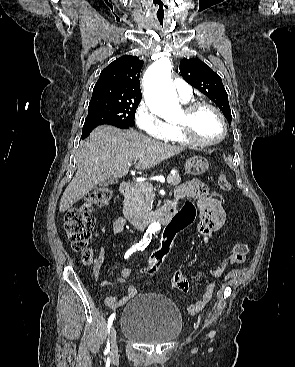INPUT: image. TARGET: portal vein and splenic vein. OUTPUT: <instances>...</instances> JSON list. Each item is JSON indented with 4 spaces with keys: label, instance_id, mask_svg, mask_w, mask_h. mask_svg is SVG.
<instances>
[{
    "label": "portal vein and splenic vein",
    "instance_id": "18ae733b",
    "mask_svg": "<svg viewBox=\"0 0 295 367\" xmlns=\"http://www.w3.org/2000/svg\"><path fill=\"white\" fill-rule=\"evenodd\" d=\"M171 179H172V178H171L170 176H168V177H167V182H168V183H170ZM150 189H152V188H150Z\"/></svg>",
    "mask_w": 295,
    "mask_h": 367
}]
</instances>
